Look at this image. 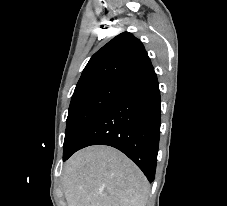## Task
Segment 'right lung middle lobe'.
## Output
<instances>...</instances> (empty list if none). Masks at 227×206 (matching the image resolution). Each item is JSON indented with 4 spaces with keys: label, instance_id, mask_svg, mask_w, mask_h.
<instances>
[{
    "label": "right lung middle lobe",
    "instance_id": "obj_1",
    "mask_svg": "<svg viewBox=\"0 0 227 206\" xmlns=\"http://www.w3.org/2000/svg\"><path fill=\"white\" fill-rule=\"evenodd\" d=\"M127 86L126 81L107 79L74 91L66 121L63 158L71 153L90 124L127 89Z\"/></svg>",
    "mask_w": 227,
    "mask_h": 206
}]
</instances>
